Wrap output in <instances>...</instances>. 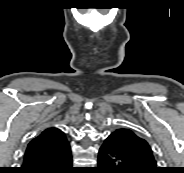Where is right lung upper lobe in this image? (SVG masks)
I'll return each mask as SVG.
<instances>
[{
	"mask_svg": "<svg viewBox=\"0 0 184 173\" xmlns=\"http://www.w3.org/2000/svg\"><path fill=\"white\" fill-rule=\"evenodd\" d=\"M69 147L64 132L55 127L48 128L29 143L24 162L51 157Z\"/></svg>",
	"mask_w": 184,
	"mask_h": 173,
	"instance_id": "1",
	"label": "right lung upper lobe"
}]
</instances>
